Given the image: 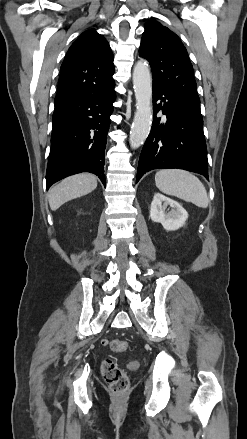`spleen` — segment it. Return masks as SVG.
<instances>
[{
  "label": "spleen",
  "mask_w": 247,
  "mask_h": 439,
  "mask_svg": "<svg viewBox=\"0 0 247 439\" xmlns=\"http://www.w3.org/2000/svg\"><path fill=\"white\" fill-rule=\"evenodd\" d=\"M157 188L163 193L207 208L208 196L202 182L193 174L181 169H164L155 175Z\"/></svg>",
  "instance_id": "spleen-1"
}]
</instances>
